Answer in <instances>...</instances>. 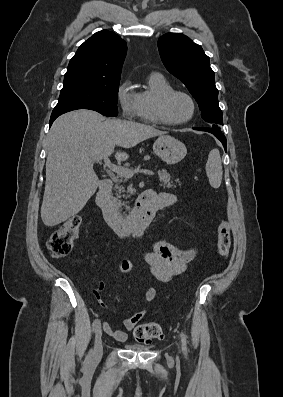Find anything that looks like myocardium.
Returning a JSON list of instances; mask_svg holds the SVG:
<instances>
[{
  "label": "myocardium",
  "mask_w": 283,
  "mask_h": 397,
  "mask_svg": "<svg viewBox=\"0 0 283 397\" xmlns=\"http://www.w3.org/2000/svg\"><path fill=\"white\" fill-rule=\"evenodd\" d=\"M176 95H182L188 99V101L191 104V113L187 118H185L183 120L174 121V120H171L168 118L167 104H168L169 100ZM195 113H196L195 100L189 93L182 91V90L173 89V90H170V91L164 93L158 100V103L156 106V116H157L159 123H161L163 125H167V126H179V125L186 124L194 117Z\"/></svg>",
  "instance_id": "obj_1"
}]
</instances>
